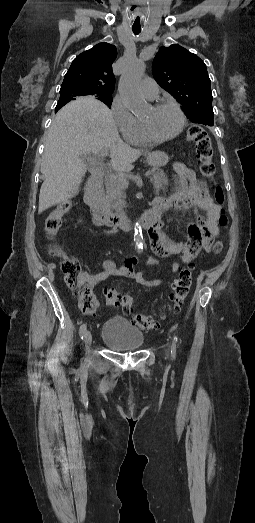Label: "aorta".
<instances>
[{
  "mask_svg": "<svg viewBox=\"0 0 255 523\" xmlns=\"http://www.w3.org/2000/svg\"><path fill=\"white\" fill-rule=\"evenodd\" d=\"M145 71L141 60L131 61L119 81V93L126 107L134 114H140L146 109V102L140 92L139 84ZM134 244L138 253L143 250V234L139 223L134 227Z\"/></svg>",
  "mask_w": 255,
  "mask_h": 523,
  "instance_id": "obj_1",
  "label": "aorta"
}]
</instances>
